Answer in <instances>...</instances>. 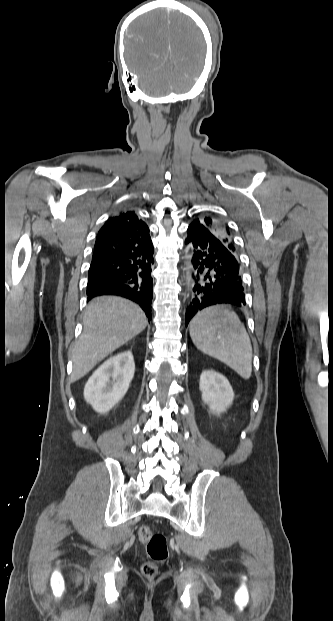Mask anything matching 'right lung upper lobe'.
Returning <instances> with one entry per match:
<instances>
[{
	"label": "right lung upper lobe",
	"mask_w": 333,
	"mask_h": 621,
	"mask_svg": "<svg viewBox=\"0 0 333 621\" xmlns=\"http://www.w3.org/2000/svg\"><path fill=\"white\" fill-rule=\"evenodd\" d=\"M152 245L149 228L133 211L110 217L96 237L94 248L115 246L128 250L145 249Z\"/></svg>",
	"instance_id": "right-lung-upper-lobe-1"
}]
</instances>
